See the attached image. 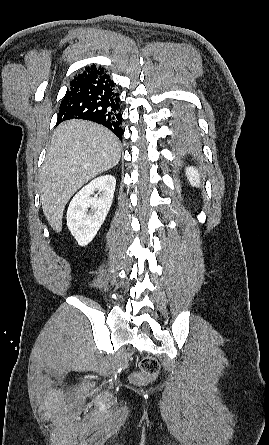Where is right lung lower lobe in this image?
I'll return each mask as SVG.
<instances>
[{
    "instance_id": "98d812e1",
    "label": "right lung lower lobe",
    "mask_w": 269,
    "mask_h": 445,
    "mask_svg": "<svg viewBox=\"0 0 269 445\" xmlns=\"http://www.w3.org/2000/svg\"><path fill=\"white\" fill-rule=\"evenodd\" d=\"M70 119H85L102 124L120 140L121 128L119 93L103 68L91 65L70 82L61 104L57 124Z\"/></svg>"
}]
</instances>
